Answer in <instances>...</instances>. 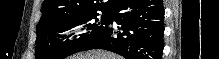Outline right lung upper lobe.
<instances>
[{
    "label": "right lung upper lobe",
    "mask_w": 219,
    "mask_h": 59,
    "mask_svg": "<svg viewBox=\"0 0 219 59\" xmlns=\"http://www.w3.org/2000/svg\"><path fill=\"white\" fill-rule=\"evenodd\" d=\"M115 0H44L42 17L37 27L46 23L96 11H110Z\"/></svg>",
    "instance_id": "right-lung-upper-lobe-1"
}]
</instances>
